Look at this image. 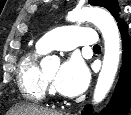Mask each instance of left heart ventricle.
Segmentation results:
<instances>
[{"instance_id":"b2bd125f","label":"left heart ventricle","mask_w":131,"mask_h":115,"mask_svg":"<svg viewBox=\"0 0 131 115\" xmlns=\"http://www.w3.org/2000/svg\"><path fill=\"white\" fill-rule=\"evenodd\" d=\"M57 73H58V68H53L52 70L45 73V75L50 80L51 83H54Z\"/></svg>"}]
</instances>
